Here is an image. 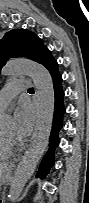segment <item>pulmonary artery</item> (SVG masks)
Masks as SVG:
<instances>
[{
	"label": "pulmonary artery",
	"instance_id": "obj_1",
	"mask_svg": "<svg viewBox=\"0 0 89 203\" xmlns=\"http://www.w3.org/2000/svg\"><path fill=\"white\" fill-rule=\"evenodd\" d=\"M28 83L25 79L11 81L5 85L0 93V110H4L8 103L21 91L26 90Z\"/></svg>",
	"mask_w": 89,
	"mask_h": 203
}]
</instances>
